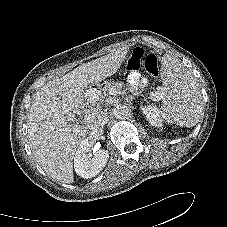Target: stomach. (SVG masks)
Instances as JSON below:
<instances>
[{
    "mask_svg": "<svg viewBox=\"0 0 227 227\" xmlns=\"http://www.w3.org/2000/svg\"><path fill=\"white\" fill-rule=\"evenodd\" d=\"M112 84H113L112 79L109 77H106V78L88 83L86 86V89L88 93L93 94L97 91L110 88Z\"/></svg>",
    "mask_w": 227,
    "mask_h": 227,
    "instance_id": "1",
    "label": "stomach"
}]
</instances>
